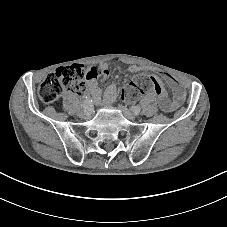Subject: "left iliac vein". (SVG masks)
Wrapping results in <instances>:
<instances>
[{
	"instance_id": "obj_1",
	"label": "left iliac vein",
	"mask_w": 227,
	"mask_h": 227,
	"mask_svg": "<svg viewBox=\"0 0 227 227\" xmlns=\"http://www.w3.org/2000/svg\"><path fill=\"white\" fill-rule=\"evenodd\" d=\"M119 107H120V109L122 110L124 116H125L127 119H129V120H134V119L137 118V114H135L134 112H131V111H130L129 109H127L126 107H124V106H122V105H120ZM135 107H136V106H134V108H135Z\"/></svg>"
}]
</instances>
